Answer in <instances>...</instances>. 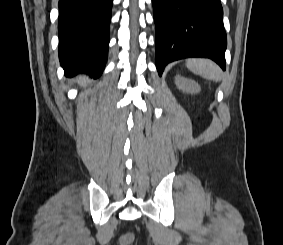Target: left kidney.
Wrapping results in <instances>:
<instances>
[{
  "label": "left kidney",
  "mask_w": 283,
  "mask_h": 245,
  "mask_svg": "<svg viewBox=\"0 0 283 245\" xmlns=\"http://www.w3.org/2000/svg\"><path fill=\"white\" fill-rule=\"evenodd\" d=\"M175 84L180 90L191 94L198 93L201 90L198 83H196L194 80L187 79L180 75L175 77Z\"/></svg>",
  "instance_id": "1"
}]
</instances>
